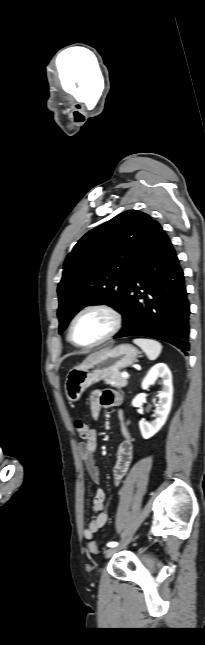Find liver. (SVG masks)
Instances as JSON below:
<instances>
[{"instance_id":"liver-1","label":"liver","mask_w":205,"mask_h":645,"mask_svg":"<svg viewBox=\"0 0 205 645\" xmlns=\"http://www.w3.org/2000/svg\"><path fill=\"white\" fill-rule=\"evenodd\" d=\"M107 349H108V348H107ZM104 350H106V349H104ZM102 351H103V350H101V351H99V352H96V353L91 354L90 356H88V357L85 359V361H87V360L91 359L93 356H95V355H97V354L101 353ZM85 361H84V362H85Z\"/></svg>"}]
</instances>
